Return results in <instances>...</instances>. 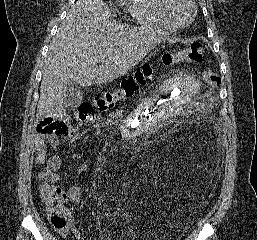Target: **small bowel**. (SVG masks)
<instances>
[{"instance_id": "obj_1", "label": "small bowel", "mask_w": 257, "mask_h": 240, "mask_svg": "<svg viewBox=\"0 0 257 240\" xmlns=\"http://www.w3.org/2000/svg\"><path fill=\"white\" fill-rule=\"evenodd\" d=\"M59 137H64L69 141H75L79 137L78 130L71 124L66 123L65 128L60 133L42 134L38 133L34 140V151L36 153V164L43 166L38 170V180L42 191L48 190L51 185L52 179L62 178V159L58 153L51 156H47V143L50 144L55 150L59 149L60 141ZM69 201L78 203L81 200V188L78 185H73L66 190ZM70 228L72 229L76 239H81V233L75 226L74 220L69 216ZM60 235H66L67 230H58ZM128 236L132 240H138L133 231L128 232Z\"/></svg>"}]
</instances>
